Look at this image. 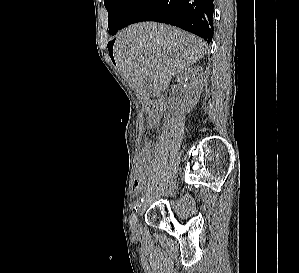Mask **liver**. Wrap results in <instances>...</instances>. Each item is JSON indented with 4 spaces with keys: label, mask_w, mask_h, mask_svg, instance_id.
<instances>
[{
    "label": "liver",
    "mask_w": 299,
    "mask_h": 273,
    "mask_svg": "<svg viewBox=\"0 0 299 273\" xmlns=\"http://www.w3.org/2000/svg\"><path fill=\"white\" fill-rule=\"evenodd\" d=\"M207 44L175 27L152 22L137 23L118 33L114 58L118 69L139 99L164 92L175 75L202 59ZM150 79L151 90L145 86Z\"/></svg>",
    "instance_id": "liver-1"
}]
</instances>
